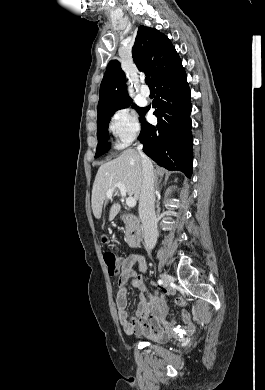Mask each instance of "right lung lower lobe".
Masks as SVG:
<instances>
[{
	"label": "right lung lower lobe",
	"instance_id": "1",
	"mask_svg": "<svg viewBox=\"0 0 265 390\" xmlns=\"http://www.w3.org/2000/svg\"><path fill=\"white\" fill-rule=\"evenodd\" d=\"M156 98L145 108L141 118L139 140L143 151L158 165L168 170L182 171L188 178L192 174V135L190 119L191 100L187 76L180 61L156 82ZM155 108L156 126L146 122L144 116Z\"/></svg>",
	"mask_w": 265,
	"mask_h": 390
}]
</instances>
